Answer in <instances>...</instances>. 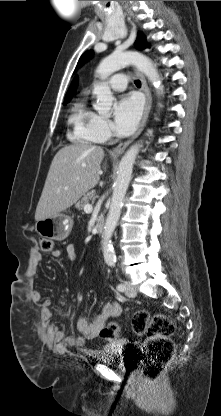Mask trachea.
I'll list each match as a JSON object with an SVG mask.
<instances>
[{"label":"trachea","mask_w":221,"mask_h":416,"mask_svg":"<svg viewBox=\"0 0 221 416\" xmlns=\"http://www.w3.org/2000/svg\"><path fill=\"white\" fill-rule=\"evenodd\" d=\"M135 84H136L137 87H140L141 86V81L140 80H136L135 81Z\"/></svg>","instance_id":"trachea-1"}]
</instances>
